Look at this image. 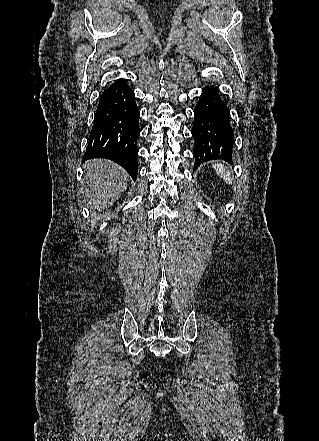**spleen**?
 <instances>
[{
    "instance_id": "spleen-1",
    "label": "spleen",
    "mask_w": 319,
    "mask_h": 441,
    "mask_svg": "<svg viewBox=\"0 0 319 441\" xmlns=\"http://www.w3.org/2000/svg\"><path fill=\"white\" fill-rule=\"evenodd\" d=\"M213 167L216 170V172L220 175V177H222L227 183L229 184L233 183V177H231V173L229 172V170H227L226 167H224V165L215 162L213 164Z\"/></svg>"
}]
</instances>
